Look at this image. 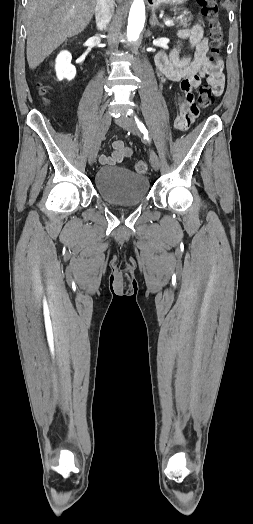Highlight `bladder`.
I'll return each instance as SVG.
<instances>
[{
  "label": "bladder",
  "instance_id": "obj_1",
  "mask_svg": "<svg viewBox=\"0 0 253 524\" xmlns=\"http://www.w3.org/2000/svg\"><path fill=\"white\" fill-rule=\"evenodd\" d=\"M149 180L120 166L101 167L95 175V187L109 204L130 206L140 204L148 195Z\"/></svg>",
  "mask_w": 253,
  "mask_h": 524
}]
</instances>
